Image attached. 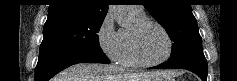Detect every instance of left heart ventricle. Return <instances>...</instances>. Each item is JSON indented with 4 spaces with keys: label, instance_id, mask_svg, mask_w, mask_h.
Returning <instances> with one entry per match:
<instances>
[{
    "label": "left heart ventricle",
    "instance_id": "left-heart-ventricle-1",
    "mask_svg": "<svg viewBox=\"0 0 237 81\" xmlns=\"http://www.w3.org/2000/svg\"><path fill=\"white\" fill-rule=\"evenodd\" d=\"M138 48L143 59L157 61L166 55L168 42L157 27L149 26L140 34Z\"/></svg>",
    "mask_w": 237,
    "mask_h": 81
}]
</instances>
